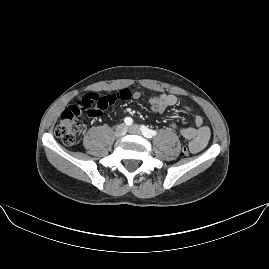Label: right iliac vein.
<instances>
[{"label": "right iliac vein", "mask_w": 269, "mask_h": 269, "mask_svg": "<svg viewBox=\"0 0 269 269\" xmlns=\"http://www.w3.org/2000/svg\"><path fill=\"white\" fill-rule=\"evenodd\" d=\"M126 132H127V129H126L125 124H119L116 127L115 136L117 138H120V137L124 136L126 134Z\"/></svg>", "instance_id": "right-iliac-vein-1"}]
</instances>
